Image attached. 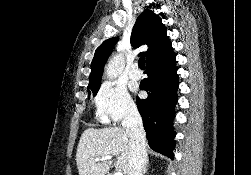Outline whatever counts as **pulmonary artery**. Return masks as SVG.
Listing matches in <instances>:
<instances>
[{
  "instance_id": "e3ab8cb5",
  "label": "pulmonary artery",
  "mask_w": 251,
  "mask_h": 175,
  "mask_svg": "<svg viewBox=\"0 0 251 175\" xmlns=\"http://www.w3.org/2000/svg\"><path fill=\"white\" fill-rule=\"evenodd\" d=\"M141 76V71L139 69H133L131 71L132 78H139Z\"/></svg>"
}]
</instances>
